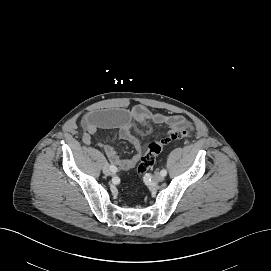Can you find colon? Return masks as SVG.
I'll list each match as a JSON object with an SVG mask.
<instances>
[{
  "label": "colon",
  "mask_w": 271,
  "mask_h": 271,
  "mask_svg": "<svg viewBox=\"0 0 271 271\" xmlns=\"http://www.w3.org/2000/svg\"><path fill=\"white\" fill-rule=\"evenodd\" d=\"M191 131V126L187 125L184 128L171 132L167 137L161 140H153L149 143L146 152L140 157L137 164L138 173H144L150 169L155 163L156 157L162 151L167 143L186 137Z\"/></svg>",
  "instance_id": "colon-1"
}]
</instances>
